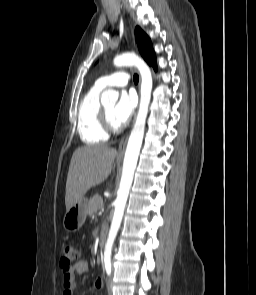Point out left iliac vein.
Segmentation results:
<instances>
[{
    "label": "left iliac vein",
    "mask_w": 256,
    "mask_h": 295,
    "mask_svg": "<svg viewBox=\"0 0 256 295\" xmlns=\"http://www.w3.org/2000/svg\"><path fill=\"white\" fill-rule=\"evenodd\" d=\"M112 286H113V281L112 279L110 278L108 280V283H107V291H108V295H112Z\"/></svg>",
    "instance_id": "obj_1"
}]
</instances>
